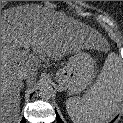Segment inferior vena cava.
<instances>
[{"mask_svg": "<svg viewBox=\"0 0 123 123\" xmlns=\"http://www.w3.org/2000/svg\"><path fill=\"white\" fill-rule=\"evenodd\" d=\"M30 76H31V74L29 72L23 71V72L20 73L19 78H21V79H29Z\"/></svg>", "mask_w": 123, "mask_h": 123, "instance_id": "obj_1", "label": "inferior vena cava"}]
</instances>
